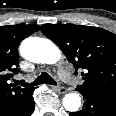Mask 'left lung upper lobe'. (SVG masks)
<instances>
[{
    "mask_svg": "<svg viewBox=\"0 0 116 116\" xmlns=\"http://www.w3.org/2000/svg\"><path fill=\"white\" fill-rule=\"evenodd\" d=\"M41 31L51 39L81 73L76 90L116 95V35L82 25L44 24ZM78 73H76L77 75Z\"/></svg>",
    "mask_w": 116,
    "mask_h": 116,
    "instance_id": "5c2ea615",
    "label": "left lung upper lobe"
}]
</instances>
